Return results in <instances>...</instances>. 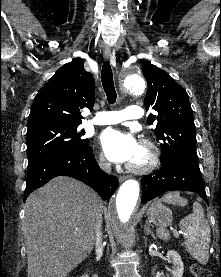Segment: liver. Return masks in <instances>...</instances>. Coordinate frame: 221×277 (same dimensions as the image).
I'll use <instances>...</instances> for the list:
<instances>
[{"mask_svg": "<svg viewBox=\"0 0 221 277\" xmlns=\"http://www.w3.org/2000/svg\"><path fill=\"white\" fill-rule=\"evenodd\" d=\"M101 210L91 188L66 176L30 194L23 222L28 277H66L77 267L93 250Z\"/></svg>", "mask_w": 221, "mask_h": 277, "instance_id": "1", "label": "liver"}]
</instances>
